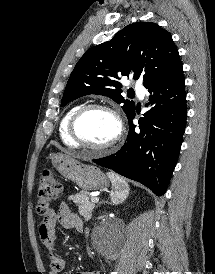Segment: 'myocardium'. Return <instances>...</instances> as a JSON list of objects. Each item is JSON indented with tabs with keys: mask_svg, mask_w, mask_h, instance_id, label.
<instances>
[{
	"mask_svg": "<svg viewBox=\"0 0 215 274\" xmlns=\"http://www.w3.org/2000/svg\"><path fill=\"white\" fill-rule=\"evenodd\" d=\"M103 110L108 113H110L116 120L117 123V133L115 137L109 141L106 144L103 145H93L86 140H84L81 135L78 132V123L80 119L89 111L91 110ZM124 123L121 118L120 113L118 110H116L114 107L103 104V103H89L82 105L79 109L76 110V112L71 117V120L69 122V134L71 138L81 147L87 148L89 150H92L94 152L103 153L106 152L113 147H115L123 138L124 135Z\"/></svg>",
	"mask_w": 215,
	"mask_h": 274,
	"instance_id": "1",
	"label": "myocardium"
}]
</instances>
